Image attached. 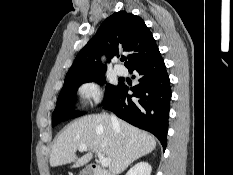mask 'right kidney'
I'll return each instance as SVG.
<instances>
[{"label":"right kidney","instance_id":"ca27d5eb","mask_svg":"<svg viewBox=\"0 0 233 175\" xmlns=\"http://www.w3.org/2000/svg\"><path fill=\"white\" fill-rule=\"evenodd\" d=\"M152 168L148 162H139L135 164L126 175H151Z\"/></svg>","mask_w":233,"mask_h":175}]
</instances>
